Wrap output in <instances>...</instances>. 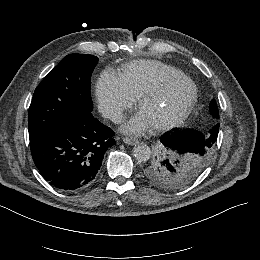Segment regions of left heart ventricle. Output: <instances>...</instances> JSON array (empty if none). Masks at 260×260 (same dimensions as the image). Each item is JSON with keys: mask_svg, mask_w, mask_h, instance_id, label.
Listing matches in <instances>:
<instances>
[{"mask_svg": "<svg viewBox=\"0 0 260 260\" xmlns=\"http://www.w3.org/2000/svg\"><path fill=\"white\" fill-rule=\"evenodd\" d=\"M192 88L185 81L167 86L159 95L141 107L152 125L178 113L191 96Z\"/></svg>", "mask_w": 260, "mask_h": 260, "instance_id": "obj_1", "label": "left heart ventricle"}]
</instances>
